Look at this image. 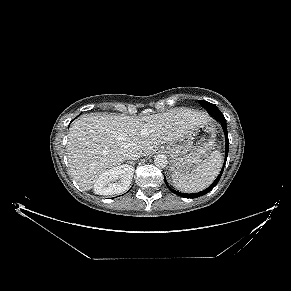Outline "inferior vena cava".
Returning a JSON list of instances; mask_svg holds the SVG:
<instances>
[{
  "mask_svg": "<svg viewBox=\"0 0 291 291\" xmlns=\"http://www.w3.org/2000/svg\"><path fill=\"white\" fill-rule=\"evenodd\" d=\"M142 156V151L137 146L128 147L125 150V157L127 160H137Z\"/></svg>",
  "mask_w": 291,
  "mask_h": 291,
  "instance_id": "obj_1",
  "label": "inferior vena cava"
}]
</instances>
